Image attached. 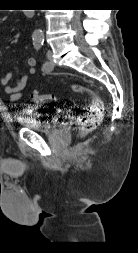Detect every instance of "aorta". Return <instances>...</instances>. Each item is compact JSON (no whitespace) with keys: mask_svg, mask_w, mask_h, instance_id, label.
<instances>
[{"mask_svg":"<svg viewBox=\"0 0 138 253\" xmlns=\"http://www.w3.org/2000/svg\"><path fill=\"white\" fill-rule=\"evenodd\" d=\"M33 38L42 39L44 37L43 31L41 29H37L33 32Z\"/></svg>","mask_w":138,"mask_h":253,"instance_id":"762f6f07","label":"aorta"}]
</instances>
